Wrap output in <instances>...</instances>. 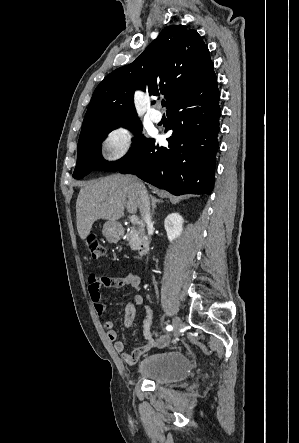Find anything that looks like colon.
<instances>
[{"mask_svg": "<svg viewBox=\"0 0 299 443\" xmlns=\"http://www.w3.org/2000/svg\"><path fill=\"white\" fill-rule=\"evenodd\" d=\"M86 247L92 258H101L104 256V248L95 234H89L86 237Z\"/></svg>", "mask_w": 299, "mask_h": 443, "instance_id": "obj_1", "label": "colon"}]
</instances>
